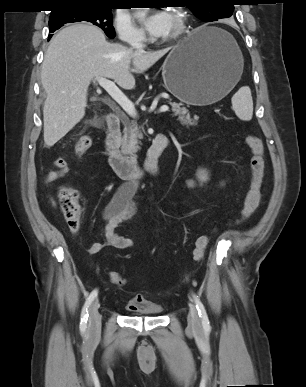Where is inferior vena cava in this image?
Returning <instances> with one entry per match:
<instances>
[{"mask_svg": "<svg viewBox=\"0 0 306 387\" xmlns=\"http://www.w3.org/2000/svg\"><path fill=\"white\" fill-rule=\"evenodd\" d=\"M131 46L136 49L142 51L144 48V45L141 42L135 41L131 44Z\"/></svg>", "mask_w": 306, "mask_h": 387, "instance_id": "inferior-vena-cava-1", "label": "inferior vena cava"}]
</instances>
